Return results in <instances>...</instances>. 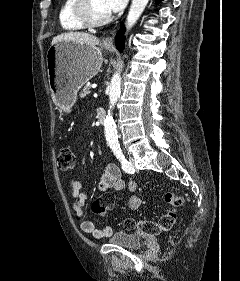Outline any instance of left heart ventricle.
<instances>
[{"label": "left heart ventricle", "mask_w": 240, "mask_h": 281, "mask_svg": "<svg viewBox=\"0 0 240 281\" xmlns=\"http://www.w3.org/2000/svg\"><path fill=\"white\" fill-rule=\"evenodd\" d=\"M93 5L99 15H106L109 13L105 7V0H93Z\"/></svg>", "instance_id": "obj_1"}]
</instances>
